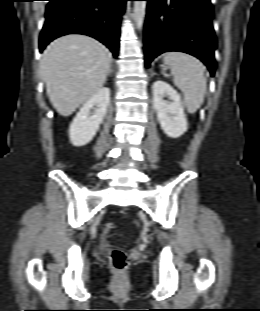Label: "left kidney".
Here are the masks:
<instances>
[{
	"instance_id": "1",
	"label": "left kidney",
	"mask_w": 260,
	"mask_h": 311,
	"mask_svg": "<svg viewBox=\"0 0 260 311\" xmlns=\"http://www.w3.org/2000/svg\"><path fill=\"white\" fill-rule=\"evenodd\" d=\"M152 88L153 108L162 130L168 137H180L188 129L180 95L164 81L154 82ZM164 97H168L171 102L164 100Z\"/></svg>"
}]
</instances>
